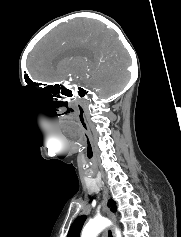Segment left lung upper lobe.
Here are the masks:
<instances>
[{
    "mask_svg": "<svg viewBox=\"0 0 181 237\" xmlns=\"http://www.w3.org/2000/svg\"><path fill=\"white\" fill-rule=\"evenodd\" d=\"M108 206L112 207V211H116L115 202L113 200H110L108 202ZM86 218L87 217L84 215L77 217L74 223L72 224L67 237H79L83 222L86 220Z\"/></svg>",
    "mask_w": 181,
    "mask_h": 237,
    "instance_id": "obj_1",
    "label": "left lung upper lobe"
}]
</instances>
